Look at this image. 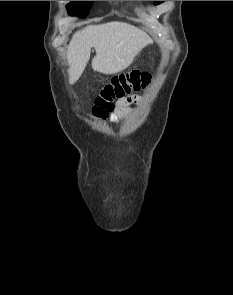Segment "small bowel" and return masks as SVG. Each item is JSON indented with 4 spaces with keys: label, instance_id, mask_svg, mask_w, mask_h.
Returning a JSON list of instances; mask_svg holds the SVG:
<instances>
[{
    "label": "small bowel",
    "instance_id": "c3829d8e",
    "mask_svg": "<svg viewBox=\"0 0 233 295\" xmlns=\"http://www.w3.org/2000/svg\"><path fill=\"white\" fill-rule=\"evenodd\" d=\"M134 100H135L134 97L120 99L117 102V108H116V111H115V114H114L112 120L119 121V120L125 118L130 112L128 106Z\"/></svg>",
    "mask_w": 233,
    "mask_h": 295
}]
</instances>
